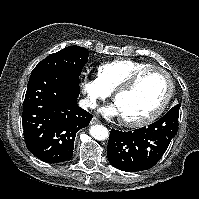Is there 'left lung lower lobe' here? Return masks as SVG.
I'll list each match as a JSON object with an SVG mask.
<instances>
[{"label":"left lung lower lobe","mask_w":199,"mask_h":199,"mask_svg":"<svg viewBox=\"0 0 199 199\" xmlns=\"http://www.w3.org/2000/svg\"><path fill=\"white\" fill-rule=\"evenodd\" d=\"M180 106L172 107L147 127L122 132L112 129L108 140V161L126 172L150 169L163 156L178 131Z\"/></svg>","instance_id":"left-lung-lower-lobe-1"}]
</instances>
